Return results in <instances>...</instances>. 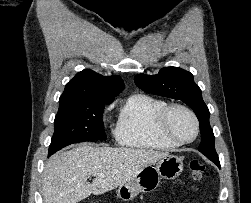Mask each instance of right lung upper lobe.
Wrapping results in <instances>:
<instances>
[{"label": "right lung upper lobe", "instance_id": "right-lung-upper-lobe-1", "mask_svg": "<svg viewBox=\"0 0 251 203\" xmlns=\"http://www.w3.org/2000/svg\"><path fill=\"white\" fill-rule=\"evenodd\" d=\"M123 89L124 83L120 76L104 77L85 69L66 84L59 103L112 102Z\"/></svg>", "mask_w": 251, "mask_h": 203}]
</instances>
